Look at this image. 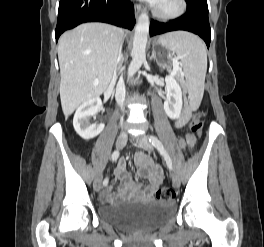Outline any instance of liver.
Instances as JSON below:
<instances>
[{"instance_id": "6515ba94", "label": "liver", "mask_w": 264, "mask_h": 247, "mask_svg": "<svg viewBox=\"0 0 264 247\" xmlns=\"http://www.w3.org/2000/svg\"><path fill=\"white\" fill-rule=\"evenodd\" d=\"M122 38L121 29L104 23H84L60 37V99L66 119L80 104L106 90Z\"/></svg>"}]
</instances>
